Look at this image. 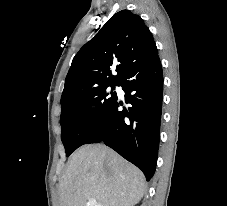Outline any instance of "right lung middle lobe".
Masks as SVG:
<instances>
[{
	"label": "right lung middle lobe",
	"mask_w": 227,
	"mask_h": 206,
	"mask_svg": "<svg viewBox=\"0 0 227 206\" xmlns=\"http://www.w3.org/2000/svg\"><path fill=\"white\" fill-rule=\"evenodd\" d=\"M115 86H119V84L96 87L61 100V139L66 156L85 144L95 128L85 119V115L91 112L88 106L96 105L97 119L101 120L117 99L116 92L113 91ZM109 87H111V91H109Z\"/></svg>",
	"instance_id": "right-lung-middle-lobe-1"
}]
</instances>
